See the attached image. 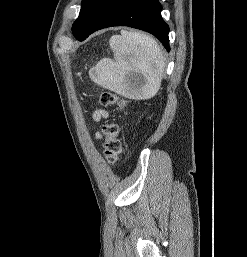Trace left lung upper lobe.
I'll return each instance as SVG.
<instances>
[{
  "mask_svg": "<svg viewBox=\"0 0 247 257\" xmlns=\"http://www.w3.org/2000/svg\"><path fill=\"white\" fill-rule=\"evenodd\" d=\"M96 1L97 0H82V7H81L79 17L74 22L72 27V32L74 35L78 34L82 29Z\"/></svg>",
  "mask_w": 247,
  "mask_h": 257,
  "instance_id": "left-lung-upper-lobe-1",
  "label": "left lung upper lobe"
}]
</instances>
